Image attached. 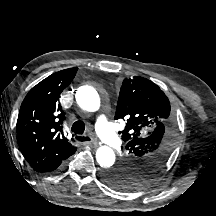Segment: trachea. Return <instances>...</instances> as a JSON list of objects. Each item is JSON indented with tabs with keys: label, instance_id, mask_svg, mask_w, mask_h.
<instances>
[{
	"label": "trachea",
	"instance_id": "trachea-1",
	"mask_svg": "<svg viewBox=\"0 0 216 216\" xmlns=\"http://www.w3.org/2000/svg\"><path fill=\"white\" fill-rule=\"evenodd\" d=\"M72 132L76 133V134H80L82 135L85 131V124L83 121L78 120L76 122L73 123L72 128H71ZM85 138L80 139V141H84Z\"/></svg>",
	"mask_w": 216,
	"mask_h": 216
}]
</instances>
